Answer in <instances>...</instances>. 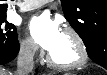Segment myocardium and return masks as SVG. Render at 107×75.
Instances as JSON below:
<instances>
[{"mask_svg": "<svg viewBox=\"0 0 107 75\" xmlns=\"http://www.w3.org/2000/svg\"><path fill=\"white\" fill-rule=\"evenodd\" d=\"M63 33L69 35L75 42L77 48H78V52H79V57L76 61L72 62V63H67V64H61V63H57L51 56V54H49L47 56V62L48 64L58 70H71V69H75L78 67L83 66L89 58L88 55V50H87V46L83 40V38L80 36V34L73 29L72 27H65L63 29Z\"/></svg>", "mask_w": 107, "mask_h": 75, "instance_id": "f54148a6", "label": "myocardium"}]
</instances>
